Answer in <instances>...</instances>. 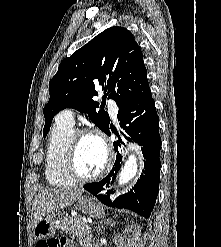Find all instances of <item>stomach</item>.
<instances>
[{"label": "stomach", "mask_w": 221, "mask_h": 247, "mask_svg": "<svg viewBox=\"0 0 221 247\" xmlns=\"http://www.w3.org/2000/svg\"><path fill=\"white\" fill-rule=\"evenodd\" d=\"M77 206L91 217L101 218L104 215L103 208L88 196H80ZM57 227L55 214H47L34 226L33 234L36 239H47L55 234Z\"/></svg>", "instance_id": "stomach-1"}]
</instances>
